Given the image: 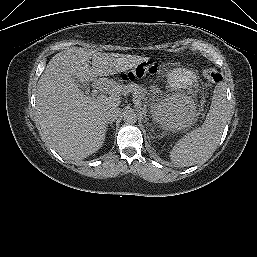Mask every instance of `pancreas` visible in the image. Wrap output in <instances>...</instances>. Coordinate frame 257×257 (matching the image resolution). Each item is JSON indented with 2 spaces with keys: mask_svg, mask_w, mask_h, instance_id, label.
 <instances>
[{
  "mask_svg": "<svg viewBox=\"0 0 257 257\" xmlns=\"http://www.w3.org/2000/svg\"><path fill=\"white\" fill-rule=\"evenodd\" d=\"M123 89L131 91L135 97V100L139 101V104L141 103L142 100H146L147 90L142 86H139L137 84H130L124 87Z\"/></svg>",
  "mask_w": 257,
  "mask_h": 257,
  "instance_id": "1",
  "label": "pancreas"
}]
</instances>
